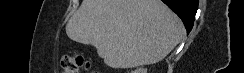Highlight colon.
Returning a JSON list of instances; mask_svg holds the SVG:
<instances>
[{
    "label": "colon",
    "mask_w": 244,
    "mask_h": 73,
    "mask_svg": "<svg viewBox=\"0 0 244 73\" xmlns=\"http://www.w3.org/2000/svg\"><path fill=\"white\" fill-rule=\"evenodd\" d=\"M61 67L64 73H78L81 68H90V63L81 55H65L61 60Z\"/></svg>",
    "instance_id": "5ec220e1"
}]
</instances>
